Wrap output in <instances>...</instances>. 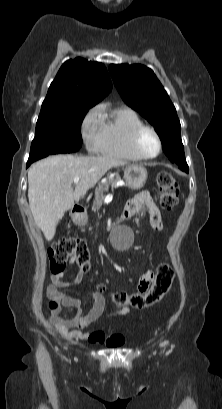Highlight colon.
<instances>
[{
	"label": "colon",
	"mask_w": 222,
	"mask_h": 409,
	"mask_svg": "<svg viewBox=\"0 0 222 409\" xmlns=\"http://www.w3.org/2000/svg\"><path fill=\"white\" fill-rule=\"evenodd\" d=\"M157 189L159 205L164 211H171L179 201V186L176 179L168 172H161L157 176ZM51 271L54 274L65 270L71 259H74L84 273L91 269V253L87 243L78 238H63L56 241L49 250ZM155 277L150 285L140 286L136 292L128 293L117 291L111 294L113 303L119 307L130 306L143 309L157 302L170 288L174 278L173 268L164 263L154 271ZM146 278V277H145ZM99 291L104 290L103 285L98 286ZM51 311H56L58 304L51 301ZM115 335L110 337L113 341Z\"/></svg>",
	"instance_id": "obj_1"
}]
</instances>
